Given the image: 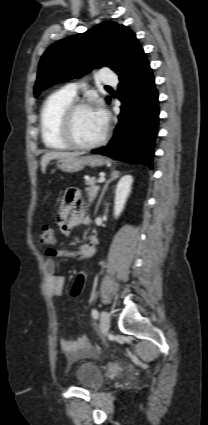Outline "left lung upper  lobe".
<instances>
[{"label":"left lung upper lobe","instance_id":"obj_1","mask_svg":"<svg viewBox=\"0 0 208 425\" xmlns=\"http://www.w3.org/2000/svg\"><path fill=\"white\" fill-rule=\"evenodd\" d=\"M144 54L135 34L122 24L103 22L85 33L52 44L38 67L34 93L58 82L108 66L120 76L127 73ZM106 100L109 102L110 97Z\"/></svg>","mask_w":208,"mask_h":425}]
</instances>
